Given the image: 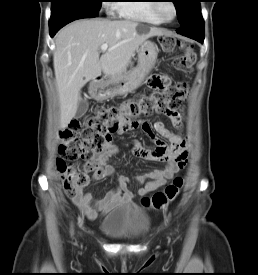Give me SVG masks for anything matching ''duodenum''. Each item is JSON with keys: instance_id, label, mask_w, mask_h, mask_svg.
Masks as SVG:
<instances>
[{"instance_id": "1", "label": "duodenum", "mask_w": 258, "mask_h": 275, "mask_svg": "<svg viewBox=\"0 0 258 275\" xmlns=\"http://www.w3.org/2000/svg\"><path fill=\"white\" fill-rule=\"evenodd\" d=\"M102 80H103V77H102V76L98 77V81H99V82H101ZM93 90H94V91H97V90H99V88H96V87H95Z\"/></svg>"}]
</instances>
